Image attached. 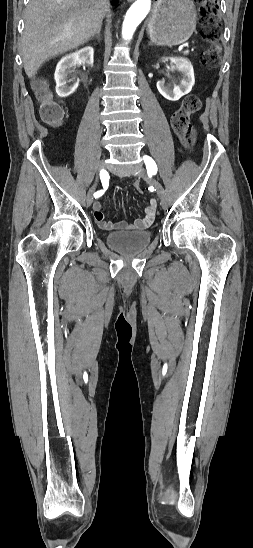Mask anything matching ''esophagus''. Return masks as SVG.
Instances as JSON below:
<instances>
[{"mask_svg":"<svg viewBox=\"0 0 253 548\" xmlns=\"http://www.w3.org/2000/svg\"><path fill=\"white\" fill-rule=\"evenodd\" d=\"M128 2H133L134 0H127Z\"/></svg>","mask_w":253,"mask_h":548,"instance_id":"obj_1","label":"esophagus"}]
</instances>
